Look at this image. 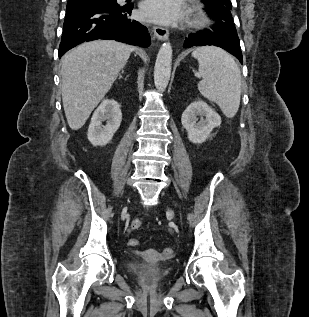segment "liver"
Listing matches in <instances>:
<instances>
[{"label":"liver","mask_w":309,"mask_h":317,"mask_svg":"<svg viewBox=\"0 0 309 317\" xmlns=\"http://www.w3.org/2000/svg\"><path fill=\"white\" fill-rule=\"evenodd\" d=\"M134 47L97 40L83 43L61 60L62 101L72 130L80 129L112 87Z\"/></svg>","instance_id":"1"}]
</instances>
